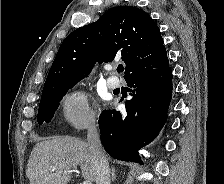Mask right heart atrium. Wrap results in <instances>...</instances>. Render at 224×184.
<instances>
[{
  "instance_id": "d8ad5b80",
  "label": "right heart atrium",
  "mask_w": 224,
  "mask_h": 184,
  "mask_svg": "<svg viewBox=\"0 0 224 184\" xmlns=\"http://www.w3.org/2000/svg\"><path fill=\"white\" fill-rule=\"evenodd\" d=\"M63 116L75 128H88L95 124L96 115L82 91L68 94L63 101Z\"/></svg>"
}]
</instances>
